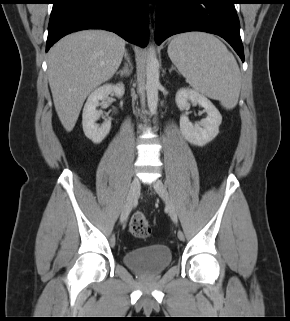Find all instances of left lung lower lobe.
Instances as JSON below:
<instances>
[{"mask_svg":"<svg viewBox=\"0 0 290 321\" xmlns=\"http://www.w3.org/2000/svg\"><path fill=\"white\" fill-rule=\"evenodd\" d=\"M155 40L183 32L203 31L224 38L244 62L239 33L240 24L234 7L237 0H156Z\"/></svg>","mask_w":290,"mask_h":321,"instance_id":"1","label":"left lung lower lobe"}]
</instances>
